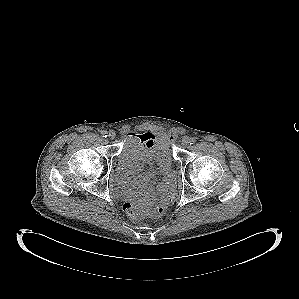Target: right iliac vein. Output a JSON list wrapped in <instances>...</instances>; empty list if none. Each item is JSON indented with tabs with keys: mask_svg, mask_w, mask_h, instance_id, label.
Segmentation results:
<instances>
[{
	"mask_svg": "<svg viewBox=\"0 0 299 299\" xmlns=\"http://www.w3.org/2000/svg\"><path fill=\"white\" fill-rule=\"evenodd\" d=\"M108 137L110 139H114L116 137V133L114 131H110L109 134H108Z\"/></svg>",
	"mask_w": 299,
	"mask_h": 299,
	"instance_id": "right-iliac-vein-1",
	"label": "right iliac vein"
}]
</instances>
